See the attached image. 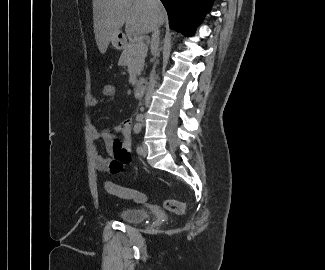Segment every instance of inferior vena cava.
<instances>
[{
  "mask_svg": "<svg viewBox=\"0 0 325 270\" xmlns=\"http://www.w3.org/2000/svg\"><path fill=\"white\" fill-rule=\"evenodd\" d=\"M154 5L160 4V0H149ZM159 44V25L156 23L154 29H153V34H152V39H151V49L154 50L158 47ZM155 67H153V70L150 75V81L148 84L146 96H145V105L148 106L151 100L152 93L154 91L155 87Z\"/></svg>",
  "mask_w": 325,
  "mask_h": 270,
  "instance_id": "602c4592",
  "label": "inferior vena cava"
}]
</instances>
